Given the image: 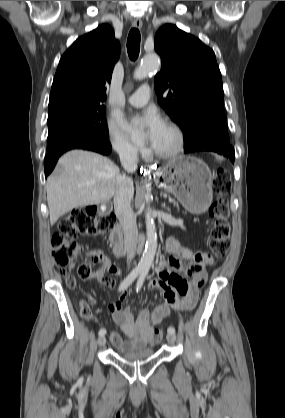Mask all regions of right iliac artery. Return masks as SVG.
<instances>
[{"label":"right iliac artery","instance_id":"right-iliac-artery-1","mask_svg":"<svg viewBox=\"0 0 285 418\" xmlns=\"http://www.w3.org/2000/svg\"><path fill=\"white\" fill-rule=\"evenodd\" d=\"M143 269L136 268L134 269L120 284L119 290L127 289L130 284L141 274ZM106 330L104 328H101L98 332L99 336L105 335Z\"/></svg>","mask_w":285,"mask_h":418}]
</instances>
